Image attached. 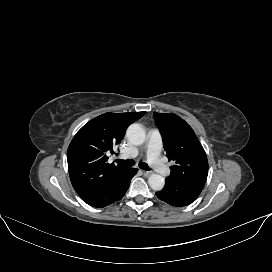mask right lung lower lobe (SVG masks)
I'll return each instance as SVG.
<instances>
[{"label": "right lung lower lobe", "instance_id": "98d812e1", "mask_svg": "<svg viewBox=\"0 0 272 272\" xmlns=\"http://www.w3.org/2000/svg\"><path fill=\"white\" fill-rule=\"evenodd\" d=\"M136 168H125L114 175L104 185L81 197L88 205L102 208L120 200L129 188L131 179L136 175Z\"/></svg>", "mask_w": 272, "mask_h": 272}]
</instances>
